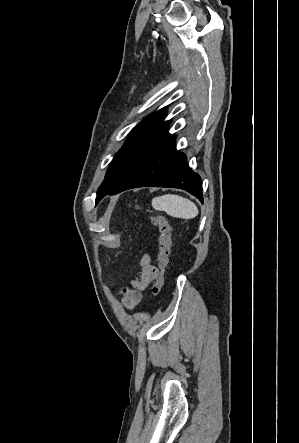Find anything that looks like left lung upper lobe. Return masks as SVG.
Segmentation results:
<instances>
[{
    "label": "left lung upper lobe",
    "mask_w": 299,
    "mask_h": 443,
    "mask_svg": "<svg viewBox=\"0 0 299 443\" xmlns=\"http://www.w3.org/2000/svg\"><path fill=\"white\" fill-rule=\"evenodd\" d=\"M165 114L166 110L162 108L132 129L129 138L114 156L105 180L97 191L96 201L104 191L112 188L134 164L169 137L168 121H163Z\"/></svg>",
    "instance_id": "left-lung-upper-lobe-1"
}]
</instances>
